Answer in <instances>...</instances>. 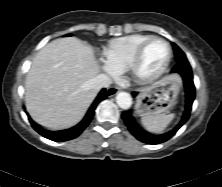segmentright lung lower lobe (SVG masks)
<instances>
[{
  "instance_id": "right-lung-lower-lobe-1",
  "label": "right lung lower lobe",
  "mask_w": 222,
  "mask_h": 187,
  "mask_svg": "<svg viewBox=\"0 0 222 187\" xmlns=\"http://www.w3.org/2000/svg\"><path fill=\"white\" fill-rule=\"evenodd\" d=\"M106 98H107L106 89H102L100 91V93L98 94V96L96 97L93 104L91 105V107L89 108L84 119L76 126L70 128V129H67V130H61V131L45 130V129L41 128L40 126H38L37 124H35L31 120L30 117H29V120H30L32 127L45 138H48L50 140L57 141V142L71 140V139L76 138L77 136H79L83 132V130L87 127V125L92 120V117L95 114V109H96L97 105L102 100H104Z\"/></svg>"
}]
</instances>
